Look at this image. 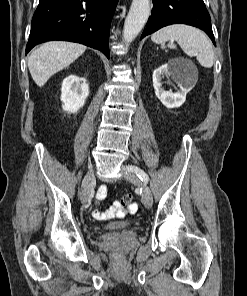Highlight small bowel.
Returning a JSON list of instances; mask_svg holds the SVG:
<instances>
[{
  "mask_svg": "<svg viewBox=\"0 0 247 296\" xmlns=\"http://www.w3.org/2000/svg\"><path fill=\"white\" fill-rule=\"evenodd\" d=\"M106 194H107V188H106V186H101L100 188H99V191H98V197L99 198H104L105 196H106ZM117 204H118V201H116L115 203H114V206H113V208L114 209H116L117 208ZM133 208H135L136 210H137V205L136 204H133L131 207H130V209H133ZM112 209H110L108 212H106V213H101V212H99V211H96L95 212V216H96V218L97 219H104L108 214H110V213H112Z\"/></svg>",
  "mask_w": 247,
  "mask_h": 296,
  "instance_id": "small-bowel-1",
  "label": "small bowel"
}]
</instances>
